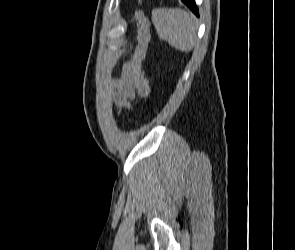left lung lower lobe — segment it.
I'll use <instances>...</instances> for the list:
<instances>
[{"label":"left lung lower lobe","instance_id":"1","mask_svg":"<svg viewBox=\"0 0 295 250\" xmlns=\"http://www.w3.org/2000/svg\"><path fill=\"white\" fill-rule=\"evenodd\" d=\"M194 13L199 16L198 9L195 4V0H182Z\"/></svg>","mask_w":295,"mask_h":250}]
</instances>
